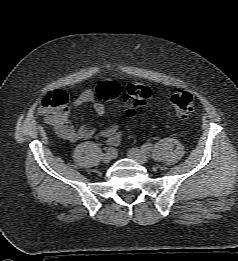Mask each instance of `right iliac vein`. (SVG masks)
<instances>
[{
	"mask_svg": "<svg viewBox=\"0 0 238 261\" xmlns=\"http://www.w3.org/2000/svg\"><path fill=\"white\" fill-rule=\"evenodd\" d=\"M116 155V154H115ZM115 155L113 154V155H110L109 153H105L104 155H103V162L104 163H109V162H111V160H113L114 158H115Z\"/></svg>",
	"mask_w": 238,
	"mask_h": 261,
	"instance_id": "63e3f726",
	"label": "right iliac vein"
}]
</instances>
